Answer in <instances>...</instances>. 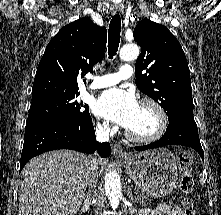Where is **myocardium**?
<instances>
[{"instance_id": "myocardium-1", "label": "myocardium", "mask_w": 221, "mask_h": 215, "mask_svg": "<svg viewBox=\"0 0 221 215\" xmlns=\"http://www.w3.org/2000/svg\"><path fill=\"white\" fill-rule=\"evenodd\" d=\"M139 105H148L150 106L158 119V126L157 129L150 135L147 136H139L136 134H133L128 129L125 130V136L128 140L135 142V143H141V144H147L152 143L157 140H159L166 132L168 127V117L167 114L162 107V105L157 102L155 99L150 97L142 98L139 102Z\"/></svg>"}]
</instances>
